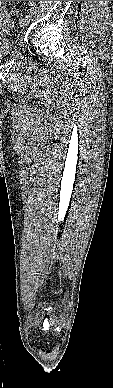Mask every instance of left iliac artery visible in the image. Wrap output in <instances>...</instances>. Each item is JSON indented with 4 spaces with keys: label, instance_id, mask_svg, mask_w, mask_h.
Listing matches in <instances>:
<instances>
[{
    "label": "left iliac artery",
    "instance_id": "obj_1",
    "mask_svg": "<svg viewBox=\"0 0 113 388\" xmlns=\"http://www.w3.org/2000/svg\"><path fill=\"white\" fill-rule=\"evenodd\" d=\"M25 17H26L27 19H29V20L31 19L30 15H26Z\"/></svg>",
    "mask_w": 113,
    "mask_h": 388
}]
</instances>
